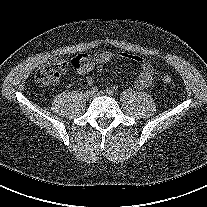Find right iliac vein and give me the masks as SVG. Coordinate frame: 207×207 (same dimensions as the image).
Returning a JSON list of instances; mask_svg holds the SVG:
<instances>
[{
    "label": "right iliac vein",
    "instance_id": "obj_1",
    "mask_svg": "<svg viewBox=\"0 0 207 207\" xmlns=\"http://www.w3.org/2000/svg\"><path fill=\"white\" fill-rule=\"evenodd\" d=\"M85 97H86L87 99H91V98L93 97V93L90 92V91H87V92L85 93Z\"/></svg>",
    "mask_w": 207,
    "mask_h": 207
}]
</instances>
